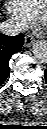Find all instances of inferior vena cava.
<instances>
[{
	"instance_id": "602c4592",
	"label": "inferior vena cava",
	"mask_w": 47,
	"mask_h": 129,
	"mask_svg": "<svg viewBox=\"0 0 47 129\" xmlns=\"http://www.w3.org/2000/svg\"><path fill=\"white\" fill-rule=\"evenodd\" d=\"M0 31L5 35L15 36L23 31V26L18 21L8 19L0 24Z\"/></svg>"
}]
</instances>
